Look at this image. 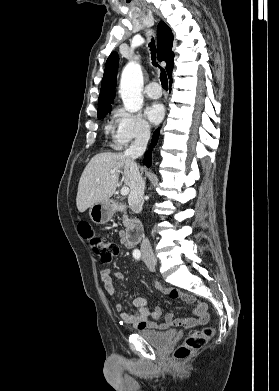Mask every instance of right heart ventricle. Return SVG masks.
Listing matches in <instances>:
<instances>
[{
	"label": "right heart ventricle",
	"instance_id": "1",
	"mask_svg": "<svg viewBox=\"0 0 279 391\" xmlns=\"http://www.w3.org/2000/svg\"><path fill=\"white\" fill-rule=\"evenodd\" d=\"M107 129L109 130V129H110V127L108 126V127H107Z\"/></svg>",
	"mask_w": 279,
	"mask_h": 391
}]
</instances>
